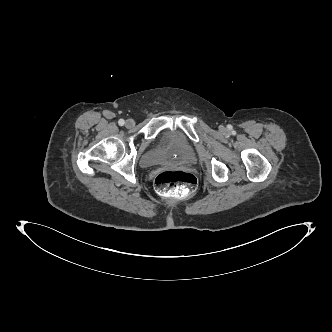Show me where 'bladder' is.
I'll use <instances>...</instances> for the list:
<instances>
[{
	"mask_svg": "<svg viewBox=\"0 0 332 332\" xmlns=\"http://www.w3.org/2000/svg\"><path fill=\"white\" fill-rule=\"evenodd\" d=\"M196 152L190 141L183 135L168 132L164 134L155 151L145 152L140 158L142 167L174 164H193Z\"/></svg>",
	"mask_w": 332,
	"mask_h": 332,
	"instance_id": "1",
	"label": "bladder"
}]
</instances>
